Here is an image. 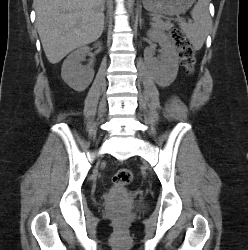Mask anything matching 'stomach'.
I'll list each match as a JSON object with an SVG mask.
<instances>
[{"label": "stomach", "mask_w": 248, "mask_h": 250, "mask_svg": "<svg viewBox=\"0 0 248 250\" xmlns=\"http://www.w3.org/2000/svg\"><path fill=\"white\" fill-rule=\"evenodd\" d=\"M142 2L148 11L172 16L185 13L195 0H143Z\"/></svg>", "instance_id": "1"}]
</instances>
